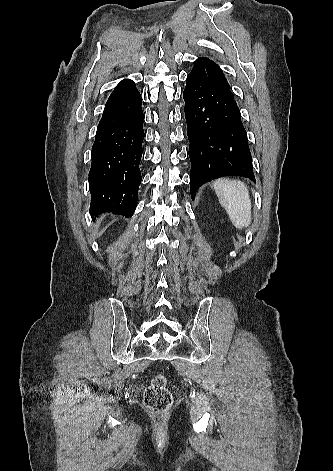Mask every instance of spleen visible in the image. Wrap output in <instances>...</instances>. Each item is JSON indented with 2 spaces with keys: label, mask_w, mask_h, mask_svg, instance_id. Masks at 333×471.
I'll return each mask as SVG.
<instances>
[{
  "label": "spleen",
  "mask_w": 333,
  "mask_h": 471,
  "mask_svg": "<svg viewBox=\"0 0 333 471\" xmlns=\"http://www.w3.org/2000/svg\"><path fill=\"white\" fill-rule=\"evenodd\" d=\"M214 190L221 206L232 224L242 230L251 223V200L247 186L239 180L221 178L215 181Z\"/></svg>",
  "instance_id": "1"
}]
</instances>
